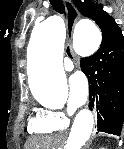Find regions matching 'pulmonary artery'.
Wrapping results in <instances>:
<instances>
[{"label": "pulmonary artery", "mask_w": 124, "mask_h": 149, "mask_svg": "<svg viewBox=\"0 0 124 149\" xmlns=\"http://www.w3.org/2000/svg\"><path fill=\"white\" fill-rule=\"evenodd\" d=\"M64 68L67 71H71L73 69V64L70 58H65L64 59Z\"/></svg>", "instance_id": "e3ab8cb5"}]
</instances>
